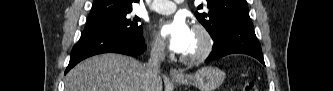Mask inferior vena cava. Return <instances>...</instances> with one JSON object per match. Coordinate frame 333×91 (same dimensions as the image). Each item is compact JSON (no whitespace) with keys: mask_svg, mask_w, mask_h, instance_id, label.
I'll return each instance as SVG.
<instances>
[{"mask_svg":"<svg viewBox=\"0 0 333 91\" xmlns=\"http://www.w3.org/2000/svg\"><path fill=\"white\" fill-rule=\"evenodd\" d=\"M165 59V45L162 42L153 44L150 58L145 66L146 78L148 81L158 80L161 62Z\"/></svg>","mask_w":333,"mask_h":91,"instance_id":"inferior-vena-cava-1","label":"inferior vena cava"}]
</instances>
